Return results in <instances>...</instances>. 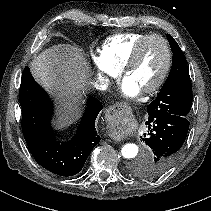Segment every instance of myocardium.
<instances>
[{"instance_id": "obj_1", "label": "myocardium", "mask_w": 211, "mask_h": 211, "mask_svg": "<svg viewBox=\"0 0 211 211\" xmlns=\"http://www.w3.org/2000/svg\"><path fill=\"white\" fill-rule=\"evenodd\" d=\"M152 39H157L163 44L165 52H166V61H165V66L163 68V71H162L160 77L158 78V80L155 82V84L143 91L145 94H148V95L154 94L158 90H160L161 87L166 82L168 75L170 73L171 66H172V51H171V48H170V45H169L167 39L165 37H163L162 35L156 34V33L145 35L134 46L128 60L125 63V66L123 67L124 75L127 76L130 69L137 62L139 55H140V52H141L142 48L144 47V45L149 40H152Z\"/></svg>"}]
</instances>
